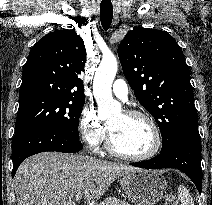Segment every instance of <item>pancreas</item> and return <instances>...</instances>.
<instances>
[{"mask_svg":"<svg viewBox=\"0 0 212 205\" xmlns=\"http://www.w3.org/2000/svg\"><path fill=\"white\" fill-rule=\"evenodd\" d=\"M100 205H130V204L117 198H106Z\"/></svg>","mask_w":212,"mask_h":205,"instance_id":"obj_1","label":"pancreas"}]
</instances>
